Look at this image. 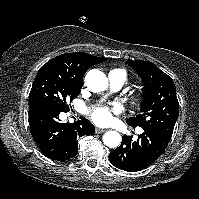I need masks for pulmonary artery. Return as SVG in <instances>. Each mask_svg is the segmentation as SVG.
I'll use <instances>...</instances> for the list:
<instances>
[{
    "instance_id": "obj_1",
    "label": "pulmonary artery",
    "mask_w": 199,
    "mask_h": 199,
    "mask_svg": "<svg viewBox=\"0 0 199 199\" xmlns=\"http://www.w3.org/2000/svg\"><path fill=\"white\" fill-rule=\"evenodd\" d=\"M109 82L112 90H119L125 83V72L122 69H113L109 72Z\"/></svg>"
}]
</instances>
